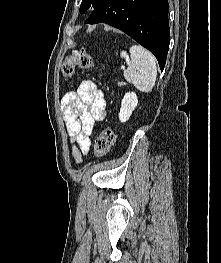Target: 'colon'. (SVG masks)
I'll return each instance as SVG.
<instances>
[{
	"label": "colon",
	"instance_id": "5ec220e1",
	"mask_svg": "<svg viewBox=\"0 0 221 263\" xmlns=\"http://www.w3.org/2000/svg\"><path fill=\"white\" fill-rule=\"evenodd\" d=\"M75 67L91 69L94 61L91 54L85 49H75L68 55L62 65V72L69 77L73 74ZM115 142V133L111 127L105 128L97 137L94 147L96 156H103L109 152Z\"/></svg>",
	"mask_w": 221,
	"mask_h": 263
}]
</instances>
